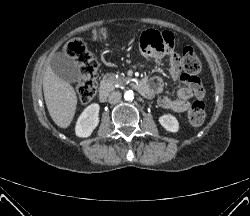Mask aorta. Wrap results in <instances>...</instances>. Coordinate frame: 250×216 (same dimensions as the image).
I'll use <instances>...</instances> for the list:
<instances>
[{"label":"aorta","instance_id":"aorta-1","mask_svg":"<svg viewBox=\"0 0 250 216\" xmlns=\"http://www.w3.org/2000/svg\"><path fill=\"white\" fill-rule=\"evenodd\" d=\"M124 98L127 101L133 100L134 99V93H133V91L132 90L126 91L125 94H124Z\"/></svg>","mask_w":250,"mask_h":216}]
</instances>
